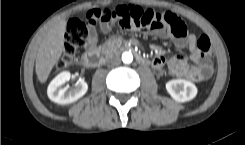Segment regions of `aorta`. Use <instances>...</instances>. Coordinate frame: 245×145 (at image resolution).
<instances>
[{"instance_id": "762f6f07", "label": "aorta", "mask_w": 245, "mask_h": 145, "mask_svg": "<svg viewBox=\"0 0 245 145\" xmlns=\"http://www.w3.org/2000/svg\"><path fill=\"white\" fill-rule=\"evenodd\" d=\"M122 61L126 64H129L133 61V55L131 52H124L122 54Z\"/></svg>"}]
</instances>
